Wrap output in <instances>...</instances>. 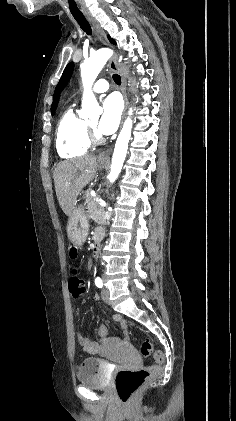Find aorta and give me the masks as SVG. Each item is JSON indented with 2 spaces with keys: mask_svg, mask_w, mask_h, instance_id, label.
Segmentation results:
<instances>
[{
  "mask_svg": "<svg viewBox=\"0 0 236 421\" xmlns=\"http://www.w3.org/2000/svg\"><path fill=\"white\" fill-rule=\"evenodd\" d=\"M112 54L113 50H111V48H99V50L90 54L88 60H84L83 64H81V78L85 86L82 104H86V100H89V98L90 100H93L94 94L91 92V86L94 80H96L100 70H102L104 64H106L108 58H110ZM127 114L128 116L116 140L111 162V172L108 176L110 182H114V180H116L125 160L133 126V120L131 118V114H133V106H130Z\"/></svg>",
  "mask_w": 236,
  "mask_h": 421,
  "instance_id": "1",
  "label": "aorta"
}]
</instances>
